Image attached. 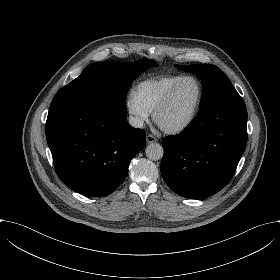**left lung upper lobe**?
Returning <instances> with one entry per match:
<instances>
[{
  "label": "left lung upper lobe",
  "instance_id": "5c2ea615",
  "mask_svg": "<svg viewBox=\"0 0 280 280\" xmlns=\"http://www.w3.org/2000/svg\"><path fill=\"white\" fill-rule=\"evenodd\" d=\"M177 68L197 75L202 81V111L226 98L238 96V92L230 83L227 75L212 64H194L190 66L175 65Z\"/></svg>",
  "mask_w": 280,
  "mask_h": 280
}]
</instances>
